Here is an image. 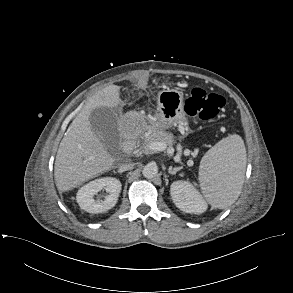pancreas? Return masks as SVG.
<instances>
[{
  "label": "pancreas",
  "instance_id": "1",
  "mask_svg": "<svg viewBox=\"0 0 293 293\" xmlns=\"http://www.w3.org/2000/svg\"><path fill=\"white\" fill-rule=\"evenodd\" d=\"M142 145L140 147V152L145 154H152L155 151L149 148V144L152 142H163L167 146H172L173 144V135L169 132H166L159 128L149 129L142 136Z\"/></svg>",
  "mask_w": 293,
  "mask_h": 293
}]
</instances>
